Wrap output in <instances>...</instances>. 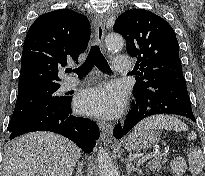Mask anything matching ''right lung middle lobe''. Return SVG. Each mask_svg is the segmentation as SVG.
<instances>
[{"mask_svg":"<svg viewBox=\"0 0 205 176\" xmlns=\"http://www.w3.org/2000/svg\"><path fill=\"white\" fill-rule=\"evenodd\" d=\"M59 87L45 88L17 97L15 109L8 124V131L16 130L49 104L62 102L65 97L56 94Z\"/></svg>","mask_w":205,"mask_h":176,"instance_id":"obj_1","label":"right lung middle lobe"}]
</instances>
